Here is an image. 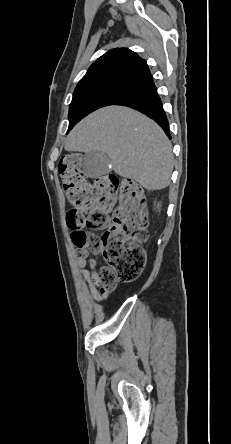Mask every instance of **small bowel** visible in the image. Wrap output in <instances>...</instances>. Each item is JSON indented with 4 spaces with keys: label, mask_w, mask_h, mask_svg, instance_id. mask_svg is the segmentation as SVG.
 I'll list each match as a JSON object with an SVG mask.
<instances>
[{
    "label": "small bowel",
    "mask_w": 231,
    "mask_h": 444,
    "mask_svg": "<svg viewBox=\"0 0 231 444\" xmlns=\"http://www.w3.org/2000/svg\"><path fill=\"white\" fill-rule=\"evenodd\" d=\"M72 241L74 245L79 248L77 264L81 269L80 273L83 280L86 282L90 295L97 303L105 301L109 297V292H106L99 283V272L96 269L95 260L89 258L84 248L81 245V234L72 231ZM88 267V268H87ZM102 269V268H101Z\"/></svg>",
    "instance_id": "obj_1"
}]
</instances>
